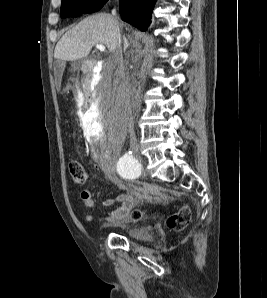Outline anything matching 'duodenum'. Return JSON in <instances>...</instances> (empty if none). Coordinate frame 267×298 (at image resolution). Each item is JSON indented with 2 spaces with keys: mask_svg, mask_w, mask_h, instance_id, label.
<instances>
[{
  "mask_svg": "<svg viewBox=\"0 0 267 298\" xmlns=\"http://www.w3.org/2000/svg\"><path fill=\"white\" fill-rule=\"evenodd\" d=\"M99 62L95 60H86L82 64L81 76H85L84 87L81 89L82 99L80 104L83 105V115H90L92 105L94 104L93 91L96 89L98 79Z\"/></svg>",
  "mask_w": 267,
  "mask_h": 298,
  "instance_id": "410a0bca",
  "label": "duodenum"
}]
</instances>
